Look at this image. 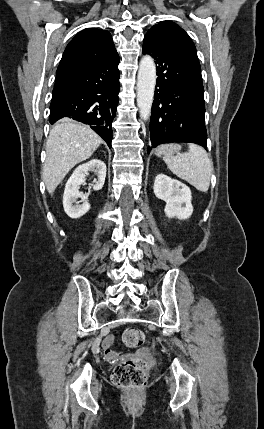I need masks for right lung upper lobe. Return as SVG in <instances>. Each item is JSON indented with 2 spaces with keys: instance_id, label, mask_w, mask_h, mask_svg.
<instances>
[{
  "instance_id": "cb5924a9",
  "label": "right lung upper lobe",
  "mask_w": 264,
  "mask_h": 429,
  "mask_svg": "<svg viewBox=\"0 0 264 429\" xmlns=\"http://www.w3.org/2000/svg\"><path fill=\"white\" fill-rule=\"evenodd\" d=\"M115 51L108 31L97 28L84 29L67 45L57 69L56 82L94 66Z\"/></svg>"
}]
</instances>
